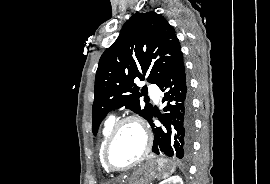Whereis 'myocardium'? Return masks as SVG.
Returning a JSON list of instances; mask_svg holds the SVG:
<instances>
[{
	"label": "myocardium",
	"instance_id": "f54148a6",
	"mask_svg": "<svg viewBox=\"0 0 270 184\" xmlns=\"http://www.w3.org/2000/svg\"><path fill=\"white\" fill-rule=\"evenodd\" d=\"M126 123H135L136 125H138L140 127V129L144 135L145 145H144V149H143L142 154L135 161H133L129 165H126L123 167H116V166L112 165L109 161V151L111 149V146H112L119 130ZM151 148H152V136H151V133H150L149 129L147 128L146 124L144 123V121L141 118L134 116V115L125 116V117H123L115 122L110 134L107 137L106 143H105L104 148H103V153H102L103 163L109 171H112V172L126 171V170H129V169L137 166L142 161H144L148 157V155L151 151Z\"/></svg>",
	"mask_w": 270,
	"mask_h": 184
}]
</instances>
